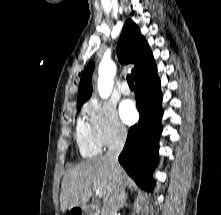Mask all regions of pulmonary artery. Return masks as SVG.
Instances as JSON below:
<instances>
[{"instance_id": "pulmonary-artery-1", "label": "pulmonary artery", "mask_w": 221, "mask_h": 215, "mask_svg": "<svg viewBox=\"0 0 221 215\" xmlns=\"http://www.w3.org/2000/svg\"><path fill=\"white\" fill-rule=\"evenodd\" d=\"M120 90L121 92L124 94V95H129L130 94V88L129 86L127 85L126 82L122 83L121 87H120Z\"/></svg>"}]
</instances>
